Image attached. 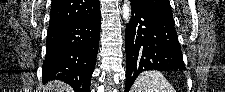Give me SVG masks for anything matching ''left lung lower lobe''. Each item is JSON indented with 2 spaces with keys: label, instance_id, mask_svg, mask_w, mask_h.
<instances>
[{
  "label": "left lung lower lobe",
  "instance_id": "left-lung-lower-lobe-1",
  "mask_svg": "<svg viewBox=\"0 0 225 92\" xmlns=\"http://www.w3.org/2000/svg\"><path fill=\"white\" fill-rule=\"evenodd\" d=\"M126 26V86L128 92L138 75L147 70H186L174 19L131 3Z\"/></svg>",
  "mask_w": 225,
  "mask_h": 92
}]
</instances>
